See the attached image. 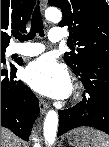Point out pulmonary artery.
<instances>
[{
    "label": "pulmonary artery",
    "mask_w": 109,
    "mask_h": 147,
    "mask_svg": "<svg viewBox=\"0 0 109 147\" xmlns=\"http://www.w3.org/2000/svg\"><path fill=\"white\" fill-rule=\"evenodd\" d=\"M49 41L56 43L64 39L62 32L52 31L48 34ZM45 47L41 43L25 42L24 44H16L13 46L12 52L26 57H34L44 52Z\"/></svg>",
    "instance_id": "pulmonary-artery-1"
}]
</instances>
